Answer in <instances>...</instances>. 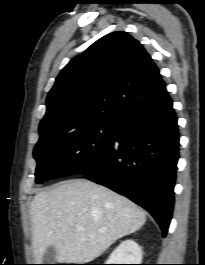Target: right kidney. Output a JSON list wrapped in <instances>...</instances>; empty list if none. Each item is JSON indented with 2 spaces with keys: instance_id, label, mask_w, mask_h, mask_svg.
Returning <instances> with one entry per match:
<instances>
[{
  "instance_id": "1",
  "label": "right kidney",
  "mask_w": 205,
  "mask_h": 265,
  "mask_svg": "<svg viewBox=\"0 0 205 265\" xmlns=\"http://www.w3.org/2000/svg\"><path fill=\"white\" fill-rule=\"evenodd\" d=\"M142 250L134 240H125L111 253L106 264H141Z\"/></svg>"
}]
</instances>
